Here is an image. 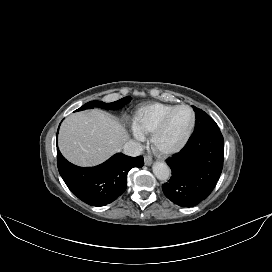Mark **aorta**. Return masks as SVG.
<instances>
[{"label": "aorta", "instance_id": "762f6f07", "mask_svg": "<svg viewBox=\"0 0 272 272\" xmlns=\"http://www.w3.org/2000/svg\"><path fill=\"white\" fill-rule=\"evenodd\" d=\"M152 169L157 179L161 181H166L170 178L171 170L167 164L157 162L153 165Z\"/></svg>", "mask_w": 272, "mask_h": 272}]
</instances>
